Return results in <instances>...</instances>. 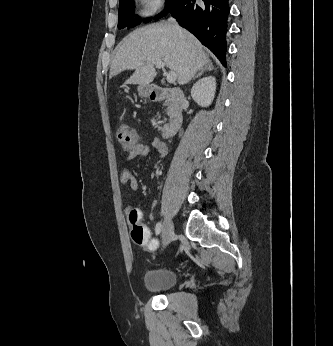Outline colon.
Returning <instances> with one entry per match:
<instances>
[{"label":"colon","mask_w":333,"mask_h":346,"mask_svg":"<svg viewBox=\"0 0 333 346\" xmlns=\"http://www.w3.org/2000/svg\"><path fill=\"white\" fill-rule=\"evenodd\" d=\"M119 145L124 151H132L139 144V136L135 129L128 125H122L116 132ZM140 211L132 208L128 215L131 227V240L137 246L147 248L149 254L155 253V247L158 246V236L152 235V226H144L139 222Z\"/></svg>","instance_id":"5ec220e1"}]
</instances>
